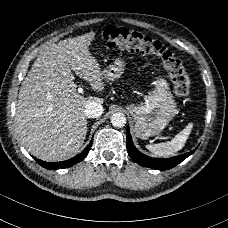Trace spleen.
Returning a JSON list of instances; mask_svg holds the SVG:
<instances>
[{
	"mask_svg": "<svg viewBox=\"0 0 228 228\" xmlns=\"http://www.w3.org/2000/svg\"><path fill=\"white\" fill-rule=\"evenodd\" d=\"M193 124L189 123L182 131H180L171 141L158 144H148L146 148L158 157H171L181 150L191 134Z\"/></svg>",
	"mask_w": 228,
	"mask_h": 228,
	"instance_id": "3e777b00",
	"label": "spleen"
}]
</instances>
